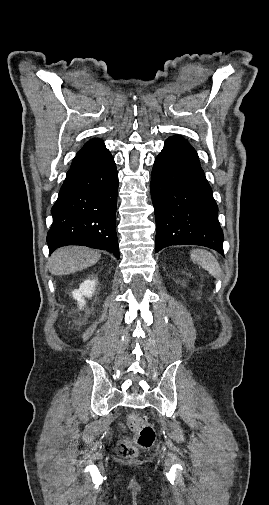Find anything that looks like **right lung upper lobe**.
I'll return each instance as SVG.
<instances>
[{
  "label": "right lung upper lobe",
  "instance_id": "right-lung-upper-lobe-1",
  "mask_svg": "<svg viewBox=\"0 0 269 505\" xmlns=\"http://www.w3.org/2000/svg\"><path fill=\"white\" fill-rule=\"evenodd\" d=\"M102 144V140L100 139H92L90 140L89 142H87L83 148L77 153V154H80V153H83V152H86V151H89L95 147H97L98 145Z\"/></svg>",
  "mask_w": 269,
  "mask_h": 505
}]
</instances>
